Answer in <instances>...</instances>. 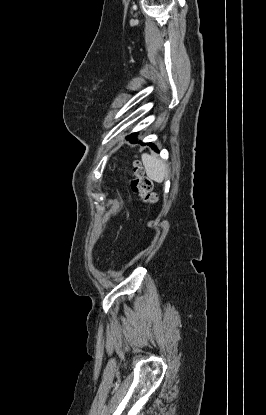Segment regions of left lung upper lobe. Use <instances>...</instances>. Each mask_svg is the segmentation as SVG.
Masks as SVG:
<instances>
[{
  "label": "left lung upper lobe",
  "mask_w": 266,
  "mask_h": 415,
  "mask_svg": "<svg viewBox=\"0 0 266 415\" xmlns=\"http://www.w3.org/2000/svg\"><path fill=\"white\" fill-rule=\"evenodd\" d=\"M135 136H137V133H133V134L129 135L128 137H135Z\"/></svg>",
  "instance_id": "5c2ea615"
}]
</instances>
